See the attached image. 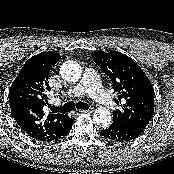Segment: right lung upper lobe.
<instances>
[{
    "mask_svg": "<svg viewBox=\"0 0 174 174\" xmlns=\"http://www.w3.org/2000/svg\"><path fill=\"white\" fill-rule=\"evenodd\" d=\"M60 55L42 52L26 61L9 91L11 113L22 130L39 141H52L66 134L74 122L68 115L47 113V84Z\"/></svg>",
    "mask_w": 174,
    "mask_h": 174,
    "instance_id": "1",
    "label": "right lung upper lobe"
}]
</instances>
